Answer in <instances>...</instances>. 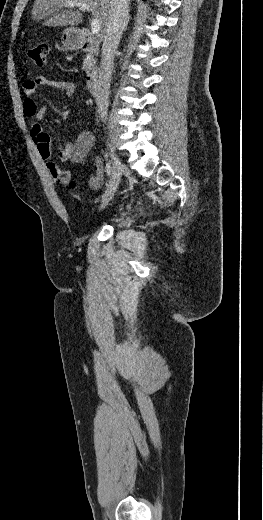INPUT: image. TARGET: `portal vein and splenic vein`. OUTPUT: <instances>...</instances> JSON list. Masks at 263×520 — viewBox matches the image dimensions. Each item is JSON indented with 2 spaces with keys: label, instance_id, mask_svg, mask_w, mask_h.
<instances>
[{
  "label": "portal vein and splenic vein",
  "instance_id": "portal-vein-and-splenic-vein-1",
  "mask_svg": "<svg viewBox=\"0 0 263 520\" xmlns=\"http://www.w3.org/2000/svg\"><path fill=\"white\" fill-rule=\"evenodd\" d=\"M67 5H68L69 7H75V6H77V7H80L81 9H83V10H86V11H88V12H92L91 7L88 6V5L85 4V3H80V2H68ZM100 29H101V23H100V21H99L98 19H96V18H95V19H92V21H91V32H92L93 34L96 35V34L99 33Z\"/></svg>",
  "mask_w": 263,
  "mask_h": 520
}]
</instances>
